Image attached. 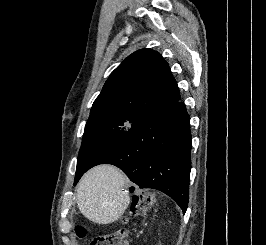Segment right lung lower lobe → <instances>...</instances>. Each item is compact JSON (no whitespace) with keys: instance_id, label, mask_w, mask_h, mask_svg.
I'll return each mask as SVG.
<instances>
[{"instance_id":"obj_1","label":"right lung lower lobe","mask_w":266,"mask_h":245,"mask_svg":"<svg viewBox=\"0 0 266 245\" xmlns=\"http://www.w3.org/2000/svg\"><path fill=\"white\" fill-rule=\"evenodd\" d=\"M122 169L140 188L170 196L186 212L191 170L190 118L180 100L142 118L75 179L98 164Z\"/></svg>"}]
</instances>
